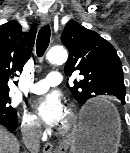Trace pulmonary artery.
Segmentation results:
<instances>
[{
	"label": "pulmonary artery",
	"mask_w": 130,
	"mask_h": 153,
	"mask_svg": "<svg viewBox=\"0 0 130 153\" xmlns=\"http://www.w3.org/2000/svg\"><path fill=\"white\" fill-rule=\"evenodd\" d=\"M61 82L62 75L59 72H51L45 79L32 83L29 87V91L35 94L44 93L50 86L59 85Z\"/></svg>",
	"instance_id": "pulmonary-artery-1"
}]
</instances>
